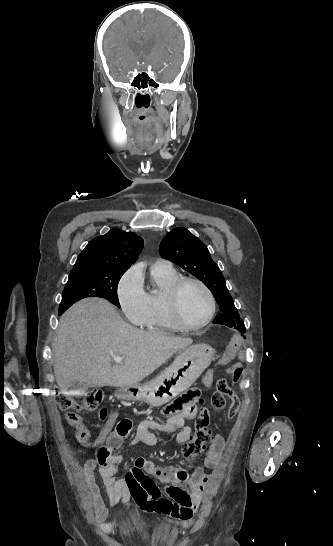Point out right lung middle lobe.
Masks as SVG:
<instances>
[{
	"instance_id": "1",
	"label": "right lung middle lobe",
	"mask_w": 333,
	"mask_h": 546,
	"mask_svg": "<svg viewBox=\"0 0 333 546\" xmlns=\"http://www.w3.org/2000/svg\"><path fill=\"white\" fill-rule=\"evenodd\" d=\"M126 270L93 267L82 274L70 275L64 288L59 310H67L76 301L86 297H101L120 307L117 286Z\"/></svg>"
}]
</instances>
